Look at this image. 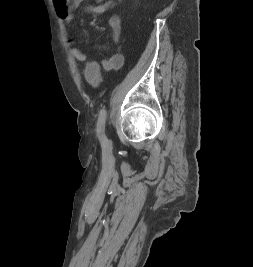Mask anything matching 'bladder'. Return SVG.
Listing matches in <instances>:
<instances>
[{"label": "bladder", "mask_w": 253, "mask_h": 267, "mask_svg": "<svg viewBox=\"0 0 253 267\" xmlns=\"http://www.w3.org/2000/svg\"><path fill=\"white\" fill-rule=\"evenodd\" d=\"M85 76L87 80L95 84L99 78V66L96 63H88L85 68Z\"/></svg>", "instance_id": "31cf9c89"}]
</instances>
